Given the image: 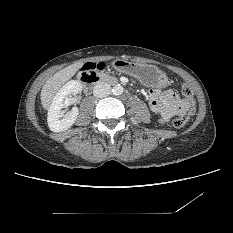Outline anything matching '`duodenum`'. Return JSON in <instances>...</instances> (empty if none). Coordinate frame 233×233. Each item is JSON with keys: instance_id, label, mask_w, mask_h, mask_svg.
I'll list each match as a JSON object with an SVG mask.
<instances>
[{"instance_id": "obj_1", "label": "duodenum", "mask_w": 233, "mask_h": 233, "mask_svg": "<svg viewBox=\"0 0 233 233\" xmlns=\"http://www.w3.org/2000/svg\"><path fill=\"white\" fill-rule=\"evenodd\" d=\"M81 82L86 86L87 89H92L96 84L102 81V78L98 74H90V73H81L80 75ZM106 81L110 84L117 85L121 83L116 78H108Z\"/></svg>"}]
</instances>
